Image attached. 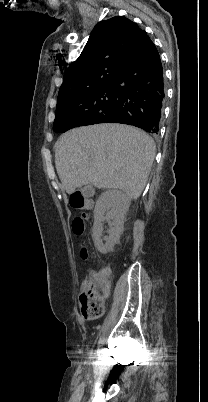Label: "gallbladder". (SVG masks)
Here are the masks:
<instances>
[{
	"mask_svg": "<svg viewBox=\"0 0 208 402\" xmlns=\"http://www.w3.org/2000/svg\"><path fill=\"white\" fill-rule=\"evenodd\" d=\"M96 193V188L94 187V183H89V186H85L83 188V196L86 199L91 198L92 195Z\"/></svg>",
	"mask_w": 208,
	"mask_h": 402,
	"instance_id": "obj_1",
	"label": "gallbladder"
}]
</instances>
